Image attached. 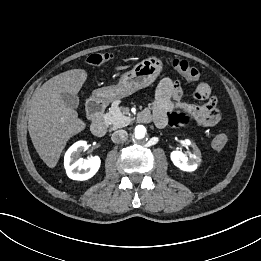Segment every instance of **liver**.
<instances>
[{
    "label": "liver",
    "mask_w": 261,
    "mask_h": 261,
    "mask_svg": "<svg viewBox=\"0 0 261 261\" xmlns=\"http://www.w3.org/2000/svg\"><path fill=\"white\" fill-rule=\"evenodd\" d=\"M128 67L118 66L115 69ZM86 79L85 70H68L46 81L32 95L28 131L34 148L49 168L57 165L67 141L86 127L78 113L66 106L61 97L62 93L76 95Z\"/></svg>",
    "instance_id": "6515ba94"
}]
</instances>
